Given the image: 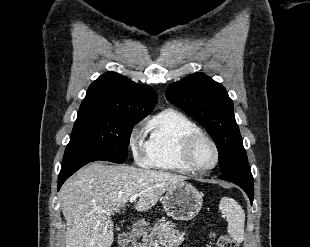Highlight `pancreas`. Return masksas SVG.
<instances>
[{"label":"pancreas","mask_w":310,"mask_h":247,"mask_svg":"<svg viewBox=\"0 0 310 247\" xmlns=\"http://www.w3.org/2000/svg\"><path fill=\"white\" fill-rule=\"evenodd\" d=\"M174 227L171 221L157 222L149 229L150 234L145 233L136 247H150L157 243L164 247H178L184 241L185 232H179Z\"/></svg>","instance_id":"cf45deb5"}]
</instances>
